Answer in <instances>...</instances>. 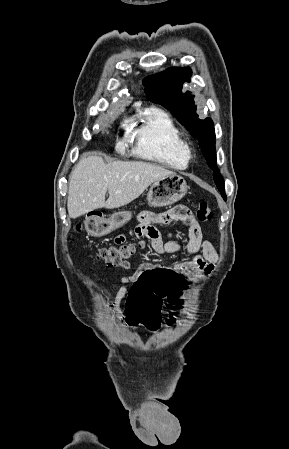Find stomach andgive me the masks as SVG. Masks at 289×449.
Segmentation results:
<instances>
[{"label": "stomach", "instance_id": "1", "mask_svg": "<svg viewBox=\"0 0 289 449\" xmlns=\"http://www.w3.org/2000/svg\"><path fill=\"white\" fill-rule=\"evenodd\" d=\"M187 191L188 185L182 176L170 175L155 181L150 186L147 201L152 207L168 206L181 200ZM131 218V211L115 212L110 218L92 216L86 219L85 228L89 235L102 237L123 226Z\"/></svg>", "mask_w": 289, "mask_h": 449}]
</instances>
